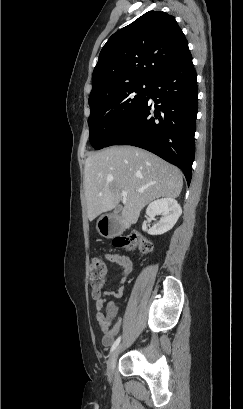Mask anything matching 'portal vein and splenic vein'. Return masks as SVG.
I'll return each instance as SVG.
<instances>
[{
  "mask_svg": "<svg viewBox=\"0 0 243 409\" xmlns=\"http://www.w3.org/2000/svg\"><path fill=\"white\" fill-rule=\"evenodd\" d=\"M142 192H143V190H138V193H142ZM121 196H122V197H126V196H127V191L122 190Z\"/></svg>",
  "mask_w": 243,
  "mask_h": 409,
  "instance_id": "1",
  "label": "portal vein and splenic vein"
}]
</instances>
